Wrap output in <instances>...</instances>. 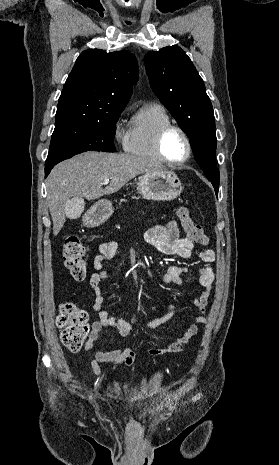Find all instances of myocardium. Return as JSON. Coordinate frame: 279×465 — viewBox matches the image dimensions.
<instances>
[{
    "label": "myocardium",
    "mask_w": 279,
    "mask_h": 465,
    "mask_svg": "<svg viewBox=\"0 0 279 465\" xmlns=\"http://www.w3.org/2000/svg\"><path fill=\"white\" fill-rule=\"evenodd\" d=\"M172 130H176L178 131L184 138L185 142H186V145H187V154L186 156L180 160V161H172L170 159H168L164 153V150H163V142H164V139H165V136L167 135V133H169L170 131ZM155 147H156V151L159 155V157L162 159L163 162L171 165V166H181V165H184L185 163H187L189 161V159L191 158L192 156V152H193V147H192V142H191V139L189 137V135L187 134V132L179 125L177 124H167L165 126H163L157 136H156V140H155Z\"/></svg>",
    "instance_id": "obj_1"
}]
</instances>
